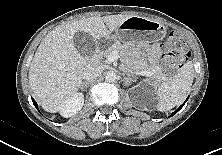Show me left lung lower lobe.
Instances as JSON below:
<instances>
[{
    "instance_id": "0a47b994",
    "label": "left lung lower lobe",
    "mask_w": 222,
    "mask_h": 155,
    "mask_svg": "<svg viewBox=\"0 0 222 155\" xmlns=\"http://www.w3.org/2000/svg\"><path fill=\"white\" fill-rule=\"evenodd\" d=\"M185 103H183L175 112H173L170 116H173L175 113H177L184 105Z\"/></svg>"
}]
</instances>
